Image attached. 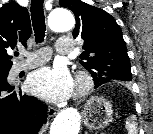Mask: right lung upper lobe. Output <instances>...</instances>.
<instances>
[{
  "label": "right lung upper lobe",
  "instance_id": "cb5924a9",
  "mask_svg": "<svg viewBox=\"0 0 153 134\" xmlns=\"http://www.w3.org/2000/svg\"><path fill=\"white\" fill-rule=\"evenodd\" d=\"M31 35V22L28 10L16 2L0 8V70L11 69L12 56L7 51L17 45L26 46Z\"/></svg>",
  "mask_w": 153,
  "mask_h": 134
}]
</instances>
